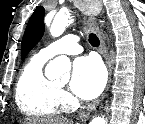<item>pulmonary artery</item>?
<instances>
[{
  "label": "pulmonary artery",
  "mask_w": 145,
  "mask_h": 124,
  "mask_svg": "<svg viewBox=\"0 0 145 124\" xmlns=\"http://www.w3.org/2000/svg\"><path fill=\"white\" fill-rule=\"evenodd\" d=\"M82 52L77 36L70 34L51 43L39 51V55L45 59H50L58 54L76 55Z\"/></svg>",
  "instance_id": "e3ab8cb5"
}]
</instances>
